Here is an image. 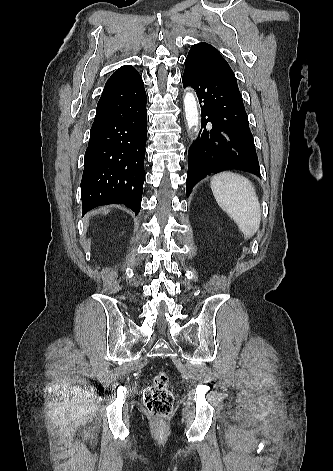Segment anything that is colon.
<instances>
[{
  "label": "colon",
  "instance_id": "obj_1",
  "mask_svg": "<svg viewBox=\"0 0 333 471\" xmlns=\"http://www.w3.org/2000/svg\"><path fill=\"white\" fill-rule=\"evenodd\" d=\"M169 377L165 371L158 372L144 391V404L162 431L173 408V394L168 388Z\"/></svg>",
  "mask_w": 333,
  "mask_h": 471
}]
</instances>
